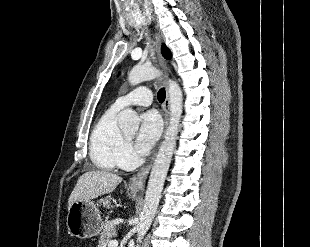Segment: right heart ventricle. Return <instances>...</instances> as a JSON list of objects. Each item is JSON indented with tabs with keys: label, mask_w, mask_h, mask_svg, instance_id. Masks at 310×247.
I'll use <instances>...</instances> for the list:
<instances>
[{
	"label": "right heart ventricle",
	"mask_w": 310,
	"mask_h": 247,
	"mask_svg": "<svg viewBox=\"0 0 310 247\" xmlns=\"http://www.w3.org/2000/svg\"><path fill=\"white\" fill-rule=\"evenodd\" d=\"M119 110L110 106L96 122L89 141L92 163L102 170L121 165L125 137L117 125Z\"/></svg>",
	"instance_id": "obj_1"
}]
</instances>
